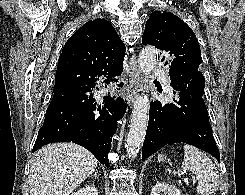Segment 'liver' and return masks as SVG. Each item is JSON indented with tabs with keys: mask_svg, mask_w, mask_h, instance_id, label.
I'll use <instances>...</instances> for the list:
<instances>
[{
	"mask_svg": "<svg viewBox=\"0 0 245 195\" xmlns=\"http://www.w3.org/2000/svg\"><path fill=\"white\" fill-rule=\"evenodd\" d=\"M97 159L75 143H53L35 153L31 164V195H70L95 172Z\"/></svg>",
	"mask_w": 245,
	"mask_h": 195,
	"instance_id": "liver-1",
	"label": "liver"
}]
</instances>
